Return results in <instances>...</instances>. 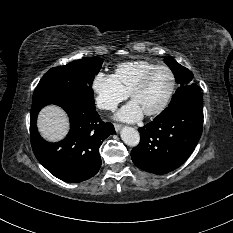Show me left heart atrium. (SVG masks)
Instances as JSON below:
<instances>
[{
  "label": "left heart atrium",
  "instance_id": "obj_1",
  "mask_svg": "<svg viewBox=\"0 0 233 233\" xmlns=\"http://www.w3.org/2000/svg\"><path fill=\"white\" fill-rule=\"evenodd\" d=\"M143 114L142 109L132 100L116 113V118L125 122H135L141 119Z\"/></svg>",
  "mask_w": 233,
  "mask_h": 233
}]
</instances>
